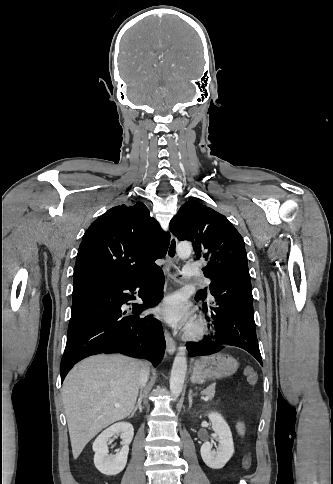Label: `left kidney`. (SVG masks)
I'll return each instance as SVG.
<instances>
[{"label": "left kidney", "instance_id": "left-kidney-1", "mask_svg": "<svg viewBox=\"0 0 333 484\" xmlns=\"http://www.w3.org/2000/svg\"><path fill=\"white\" fill-rule=\"evenodd\" d=\"M212 428L218 436V450H212V444L205 442L200 449L204 463L212 469H221L234 453V443L230 427L217 412H209Z\"/></svg>", "mask_w": 333, "mask_h": 484}]
</instances>
